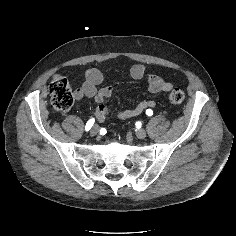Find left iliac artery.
<instances>
[{
	"label": "left iliac artery",
	"instance_id": "left-iliac-artery-1",
	"mask_svg": "<svg viewBox=\"0 0 236 236\" xmlns=\"http://www.w3.org/2000/svg\"><path fill=\"white\" fill-rule=\"evenodd\" d=\"M146 115L147 116L153 115V111L151 109L146 110Z\"/></svg>",
	"mask_w": 236,
	"mask_h": 236
}]
</instances>
